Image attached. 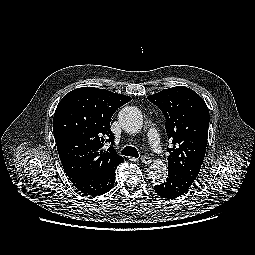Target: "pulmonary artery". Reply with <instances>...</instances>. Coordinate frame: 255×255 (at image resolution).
<instances>
[{"instance_id":"e3ab8cb5","label":"pulmonary artery","mask_w":255,"mask_h":255,"mask_svg":"<svg viewBox=\"0 0 255 255\" xmlns=\"http://www.w3.org/2000/svg\"><path fill=\"white\" fill-rule=\"evenodd\" d=\"M147 138L153 148H158L160 146L159 135L155 128L152 127L148 130Z\"/></svg>"}]
</instances>
